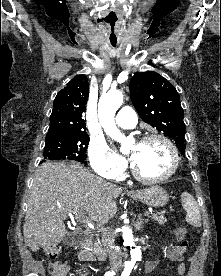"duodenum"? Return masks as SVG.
Returning a JSON list of instances; mask_svg holds the SVG:
<instances>
[{
    "mask_svg": "<svg viewBox=\"0 0 221 276\" xmlns=\"http://www.w3.org/2000/svg\"><path fill=\"white\" fill-rule=\"evenodd\" d=\"M92 233L89 230H86L83 233V237L79 243V247L82 251L90 253L93 257L98 258L99 260H104L106 258V252L101 247H93L91 245Z\"/></svg>",
    "mask_w": 221,
    "mask_h": 276,
    "instance_id": "obj_1",
    "label": "duodenum"
}]
</instances>
